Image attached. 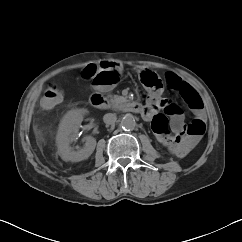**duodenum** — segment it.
Listing matches in <instances>:
<instances>
[{
	"instance_id": "duodenum-1",
	"label": "duodenum",
	"mask_w": 242,
	"mask_h": 242,
	"mask_svg": "<svg viewBox=\"0 0 242 242\" xmlns=\"http://www.w3.org/2000/svg\"><path fill=\"white\" fill-rule=\"evenodd\" d=\"M90 103L92 106L98 109H107L110 106L109 100L101 92V90H96L91 94ZM122 109L140 115H143L144 113V106L135 102H124Z\"/></svg>"
}]
</instances>
